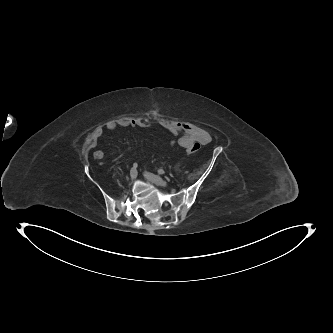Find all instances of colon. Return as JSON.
Wrapping results in <instances>:
<instances>
[{
    "label": "colon",
    "mask_w": 333,
    "mask_h": 333,
    "mask_svg": "<svg viewBox=\"0 0 333 333\" xmlns=\"http://www.w3.org/2000/svg\"><path fill=\"white\" fill-rule=\"evenodd\" d=\"M201 145L199 143H194L191 147V153H195L200 149Z\"/></svg>",
    "instance_id": "1"
}]
</instances>
